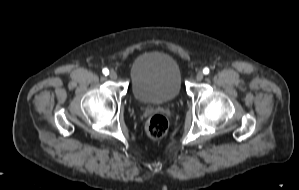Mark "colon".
<instances>
[{
	"instance_id": "obj_1",
	"label": "colon",
	"mask_w": 299,
	"mask_h": 190,
	"mask_svg": "<svg viewBox=\"0 0 299 190\" xmlns=\"http://www.w3.org/2000/svg\"><path fill=\"white\" fill-rule=\"evenodd\" d=\"M168 129V121L162 114L152 115L145 124V131L151 139L162 138Z\"/></svg>"
}]
</instances>
